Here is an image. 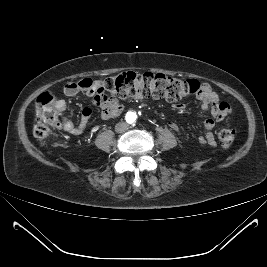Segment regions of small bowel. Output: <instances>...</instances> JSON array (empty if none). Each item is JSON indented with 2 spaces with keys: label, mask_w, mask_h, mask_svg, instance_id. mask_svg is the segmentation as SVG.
<instances>
[{
  "label": "small bowel",
  "mask_w": 267,
  "mask_h": 267,
  "mask_svg": "<svg viewBox=\"0 0 267 267\" xmlns=\"http://www.w3.org/2000/svg\"><path fill=\"white\" fill-rule=\"evenodd\" d=\"M78 82H69L64 86V94L66 96H75L79 92L87 93L84 89L77 85ZM200 101L201 108L204 111L210 110L213 119H207L204 122L205 133L199 136L198 141L201 144H206L211 147L216 146V140L214 135V127L216 122H221L230 113L231 109L228 103L223 102L216 92H214L208 85H205L203 92L197 95ZM101 109V117L104 120H110L118 117L122 111L123 106L115 99L108 100L106 102L98 103ZM185 107L184 104H177L176 108L181 110ZM55 108L62 117L60 127L69 134L82 135L85 131L86 125L91 118L92 111L90 108H85L82 111V116L78 124H75L66 115L67 103L65 100H57ZM170 127L177 133H180L179 126L171 122Z\"/></svg>",
  "instance_id": "small-bowel-1"
}]
</instances>
